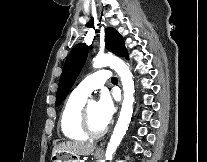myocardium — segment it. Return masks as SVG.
Here are the masks:
<instances>
[{
	"mask_svg": "<svg viewBox=\"0 0 207 162\" xmlns=\"http://www.w3.org/2000/svg\"><path fill=\"white\" fill-rule=\"evenodd\" d=\"M89 103L90 102H85V104L81 109L80 116H79V127L82 133L87 137L98 138L106 133L107 127L105 126L100 130H94L91 127L90 120H89Z\"/></svg>",
	"mask_w": 207,
	"mask_h": 162,
	"instance_id": "1",
	"label": "myocardium"
}]
</instances>
